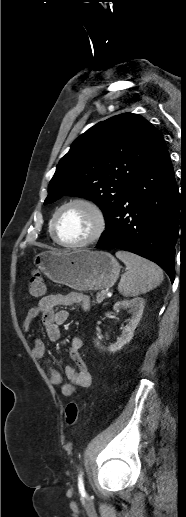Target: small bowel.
I'll list each match as a JSON object with an SVG mask.
<instances>
[{"mask_svg": "<svg viewBox=\"0 0 186 517\" xmlns=\"http://www.w3.org/2000/svg\"><path fill=\"white\" fill-rule=\"evenodd\" d=\"M73 305H81L84 310H88L90 308V299L87 295L79 292L47 295L36 306L28 310L22 328L25 332H29L34 321L41 316L48 339L51 342H57L61 337L59 326L64 324L69 317L67 310H58L57 307ZM82 346V338L74 336L68 348V353L77 365L78 370L72 366H66L64 369L66 381L54 368H46L50 383L53 386L60 387L62 395L67 397L74 395L77 387L89 388L92 385V374L79 353ZM33 352L38 359L44 358L46 347L42 339L36 338L34 340Z\"/></svg>", "mask_w": 186, "mask_h": 517, "instance_id": "small-bowel-1", "label": "small bowel"}]
</instances>
